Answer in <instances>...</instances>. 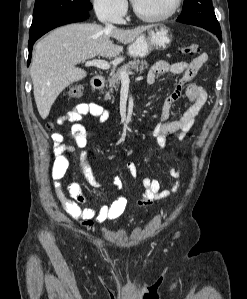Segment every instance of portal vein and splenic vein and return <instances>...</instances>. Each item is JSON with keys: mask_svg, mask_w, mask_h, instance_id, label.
I'll return each instance as SVG.
<instances>
[{"mask_svg": "<svg viewBox=\"0 0 247 299\" xmlns=\"http://www.w3.org/2000/svg\"><path fill=\"white\" fill-rule=\"evenodd\" d=\"M85 66H95L97 68L103 69V70H108L111 68V65L105 61V60H100V59H93L90 61L85 62ZM129 74H133L132 72H121L120 77L122 80H129Z\"/></svg>", "mask_w": 247, "mask_h": 299, "instance_id": "obj_1", "label": "portal vein and splenic vein"}]
</instances>
